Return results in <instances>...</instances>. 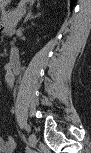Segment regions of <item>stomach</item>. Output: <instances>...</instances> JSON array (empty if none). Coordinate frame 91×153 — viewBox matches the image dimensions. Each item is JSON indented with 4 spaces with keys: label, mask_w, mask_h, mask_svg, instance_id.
Segmentation results:
<instances>
[{
    "label": "stomach",
    "mask_w": 91,
    "mask_h": 153,
    "mask_svg": "<svg viewBox=\"0 0 91 153\" xmlns=\"http://www.w3.org/2000/svg\"><path fill=\"white\" fill-rule=\"evenodd\" d=\"M7 0H0V7L1 9L7 4Z\"/></svg>",
    "instance_id": "obj_1"
}]
</instances>
